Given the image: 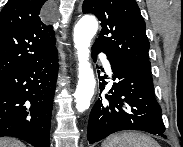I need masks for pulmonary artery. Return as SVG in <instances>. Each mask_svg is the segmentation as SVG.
<instances>
[{"mask_svg": "<svg viewBox=\"0 0 183 147\" xmlns=\"http://www.w3.org/2000/svg\"><path fill=\"white\" fill-rule=\"evenodd\" d=\"M105 68H106L107 72H108L109 74H111L110 63H109L108 61L105 62Z\"/></svg>", "mask_w": 183, "mask_h": 147, "instance_id": "obj_1", "label": "pulmonary artery"}]
</instances>
